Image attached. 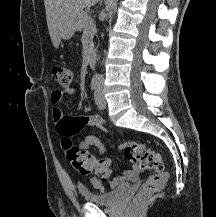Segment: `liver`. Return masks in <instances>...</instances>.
Instances as JSON below:
<instances>
[{
  "mask_svg": "<svg viewBox=\"0 0 216 217\" xmlns=\"http://www.w3.org/2000/svg\"><path fill=\"white\" fill-rule=\"evenodd\" d=\"M100 0H44L47 26L52 43L59 47L66 30L74 24L76 16L86 7Z\"/></svg>",
  "mask_w": 216,
  "mask_h": 217,
  "instance_id": "obj_1",
  "label": "liver"
}]
</instances>
